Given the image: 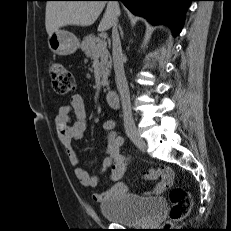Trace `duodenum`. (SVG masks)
Returning a JSON list of instances; mask_svg holds the SVG:
<instances>
[{"label": "duodenum", "mask_w": 231, "mask_h": 231, "mask_svg": "<svg viewBox=\"0 0 231 231\" xmlns=\"http://www.w3.org/2000/svg\"><path fill=\"white\" fill-rule=\"evenodd\" d=\"M106 101L108 105L113 109H118L120 107V96L114 90H109L106 93Z\"/></svg>", "instance_id": "obj_1"}]
</instances>
